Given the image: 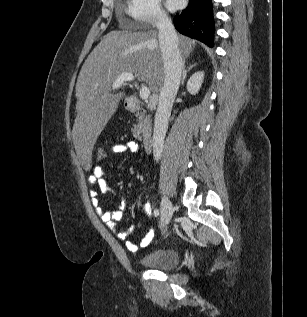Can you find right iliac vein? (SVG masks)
I'll return each instance as SVG.
<instances>
[{
	"instance_id": "right-iliac-vein-1",
	"label": "right iliac vein",
	"mask_w": 307,
	"mask_h": 317,
	"mask_svg": "<svg viewBox=\"0 0 307 317\" xmlns=\"http://www.w3.org/2000/svg\"><path fill=\"white\" fill-rule=\"evenodd\" d=\"M173 214V206L171 201L164 197L161 203V227H165L169 224Z\"/></svg>"
}]
</instances>
